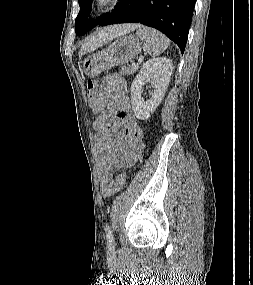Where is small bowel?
I'll return each mask as SVG.
<instances>
[{"instance_id": "1", "label": "small bowel", "mask_w": 253, "mask_h": 285, "mask_svg": "<svg viewBox=\"0 0 253 285\" xmlns=\"http://www.w3.org/2000/svg\"><path fill=\"white\" fill-rule=\"evenodd\" d=\"M127 85L118 74L108 75L91 108L96 118L93 128L97 136L99 186L104 197L112 196L113 174L136 163L144 150L143 132L131 111Z\"/></svg>"}]
</instances>
